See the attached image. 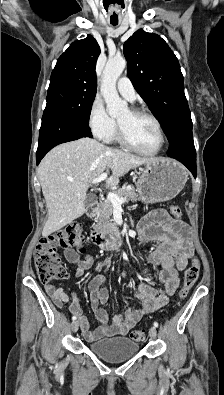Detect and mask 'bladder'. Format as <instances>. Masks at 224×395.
Masks as SVG:
<instances>
[{
  "label": "bladder",
  "mask_w": 224,
  "mask_h": 395,
  "mask_svg": "<svg viewBox=\"0 0 224 395\" xmlns=\"http://www.w3.org/2000/svg\"><path fill=\"white\" fill-rule=\"evenodd\" d=\"M88 349L107 362H121L137 354L140 346L126 337H113L92 342Z\"/></svg>",
  "instance_id": "31cf9c89"
}]
</instances>
